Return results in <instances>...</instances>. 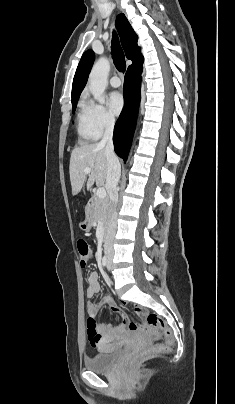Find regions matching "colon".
Wrapping results in <instances>:
<instances>
[{
    "mask_svg": "<svg viewBox=\"0 0 235 404\" xmlns=\"http://www.w3.org/2000/svg\"><path fill=\"white\" fill-rule=\"evenodd\" d=\"M77 250L80 257V265L86 267L91 258V250L89 244L84 240H79ZM135 314L141 318V321H133L129 324L130 329L145 331L156 339L163 334V340L152 347L153 351L166 352L173 343V335L165 320L158 314L147 312L141 307H135ZM87 332L89 339L95 343L98 342V336L95 331V320H87ZM128 361L133 360L132 357H127Z\"/></svg>",
    "mask_w": 235,
    "mask_h": 404,
    "instance_id": "5ec220e1",
    "label": "colon"
}]
</instances>
